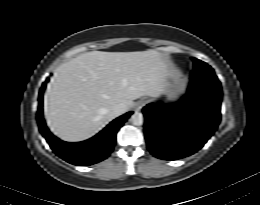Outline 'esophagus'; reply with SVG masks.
<instances>
[{
    "instance_id": "1",
    "label": "esophagus",
    "mask_w": 260,
    "mask_h": 205,
    "mask_svg": "<svg viewBox=\"0 0 260 205\" xmlns=\"http://www.w3.org/2000/svg\"><path fill=\"white\" fill-rule=\"evenodd\" d=\"M146 105L145 100H140L135 104V110L140 111Z\"/></svg>"
}]
</instances>
